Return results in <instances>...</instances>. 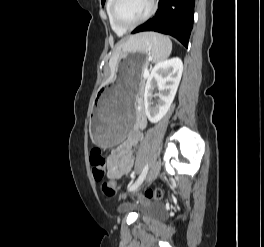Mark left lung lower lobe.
<instances>
[{"mask_svg":"<svg viewBox=\"0 0 264 247\" xmlns=\"http://www.w3.org/2000/svg\"><path fill=\"white\" fill-rule=\"evenodd\" d=\"M195 0H158L155 16L132 31H155L171 35L188 47L193 27Z\"/></svg>","mask_w":264,"mask_h":247,"instance_id":"0a47b994","label":"left lung lower lobe"}]
</instances>
